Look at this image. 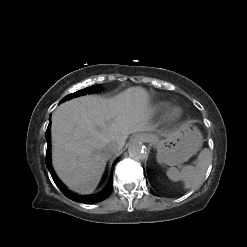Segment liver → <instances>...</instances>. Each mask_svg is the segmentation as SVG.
Returning <instances> with one entry per match:
<instances>
[{
  "label": "liver",
  "instance_id": "obj_1",
  "mask_svg": "<svg viewBox=\"0 0 247 247\" xmlns=\"http://www.w3.org/2000/svg\"><path fill=\"white\" fill-rule=\"evenodd\" d=\"M149 94L130 87L113 98L86 95L61 104L52 115V164L71 190L90 194L98 186L112 154L110 142L121 149L128 136L154 130L149 125Z\"/></svg>",
  "mask_w": 247,
  "mask_h": 247
}]
</instances>
